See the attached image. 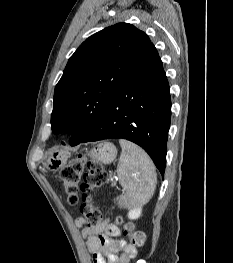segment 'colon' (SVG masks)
Returning <instances> with one entry per match:
<instances>
[{"label": "colon", "instance_id": "5ec220e1", "mask_svg": "<svg viewBox=\"0 0 233 263\" xmlns=\"http://www.w3.org/2000/svg\"><path fill=\"white\" fill-rule=\"evenodd\" d=\"M63 188L68 196V202L75 205L80 198L78 192L84 191L80 206V212L83 215L88 226H95L102 222L101 211L92 201L91 192L98 190L106 181V172L101 164L90 162L84 154H79L74 158L60 173ZM84 183L81 185V179ZM116 224H121L120 218L115 219ZM124 234L129 238L133 247L142 248L145 244V234L136 231L130 223L124 225Z\"/></svg>", "mask_w": 233, "mask_h": 263}]
</instances>
